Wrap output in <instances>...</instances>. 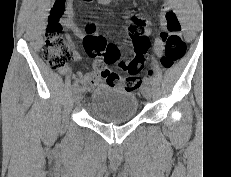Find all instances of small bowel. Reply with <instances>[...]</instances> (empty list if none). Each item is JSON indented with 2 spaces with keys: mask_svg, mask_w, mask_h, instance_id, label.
I'll use <instances>...</instances> for the list:
<instances>
[{
  "mask_svg": "<svg viewBox=\"0 0 231 177\" xmlns=\"http://www.w3.org/2000/svg\"><path fill=\"white\" fill-rule=\"evenodd\" d=\"M73 1L74 0H56L54 6H59L61 9V19H60V24L61 26H64L74 33H76L79 36H85L81 32V30L77 27L75 20H74V13H73ZM100 3L107 4L109 1H101L99 0ZM163 13L161 15V22L162 24H165V13L167 11V7L164 6L162 9ZM129 21L131 24H134L140 28L144 32L145 35L150 34V21L144 17H141L137 15L135 12H130L127 15ZM68 41L75 46V42L72 39L71 36H67ZM164 50V43L161 40V38H158L154 42V52L156 55H161ZM74 59L76 61H79L81 59V56L77 53L74 52ZM66 72V71H64ZM103 66L101 62H98L95 66V69L93 72L87 74L84 77L79 78V82L84 86L85 89L91 90L92 88L100 85V84H107V85H114L111 84L106 76L103 75Z\"/></svg>",
  "mask_w": 231,
  "mask_h": 177,
  "instance_id": "c3829d8e",
  "label": "small bowel"
}]
</instances>
